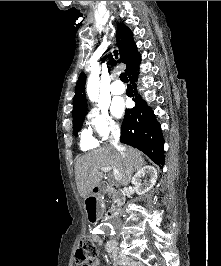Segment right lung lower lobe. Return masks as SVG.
<instances>
[{"label": "right lung lower lobe", "instance_id": "obj_1", "mask_svg": "<svg viewBox=\"0 0 221 266\" xmlns=\"http://www.w3.org/2000/svg\"><path fill=\"white\" fill-rule=\"evenodd\" d=\"M139 64L128 74L133 85L138 78ZM127 95L129 97L135 96L136 106L125 111L120 141L141 150L156 164L163 166L165 163L164 139L160 124L157 122L153 111L137 94L136 89L133 90L130 87L127 90Z\"/></svg>", "mask_w": 221, "mask_h": 266}]
</instances>
